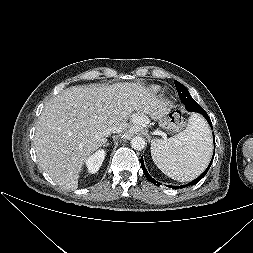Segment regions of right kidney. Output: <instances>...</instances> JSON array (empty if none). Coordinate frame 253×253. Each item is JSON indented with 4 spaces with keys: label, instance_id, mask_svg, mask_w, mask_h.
<instances>
[{
    "label": "right kidney",
    "instance_id": "obj_1",
    "mask_svg": "<svg viewBox=\"0 0 253 253\" xmlns=\"http://www.w3.org/2000/svg\"><path fill=\"white\" fill-rule=\"evenodd\" d=\"M106 152L98 150L86 160V166L89 173H96L102 165Z\"/></svg>",
    "mask_w": 253,
    "mask_h": 253
}]
</instances>
